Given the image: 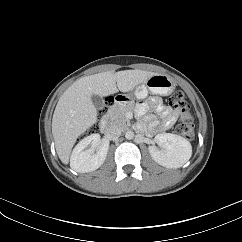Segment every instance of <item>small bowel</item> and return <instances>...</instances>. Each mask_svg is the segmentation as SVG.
<instances>
[{
  "mask_svg": "<svg viewBox=\"0 0 242 242\" xmlns=\"http://www.w3.org/2000/svg\"><path fill=\"white\" fill-rule=\"evenodd\" d=\"M154 109L160 115L161 121H157L147 116L148 106L141 103L136 108V114L142 119L139 124L140 128H144V122H147L146 128L153 133L169 129L180 117V113L160 103L158 100H153Z\"/></svg>",
  "mask_w": 242,
  "mask_h": 242,
  "instance_id": "obj_1",
  "label": "small bowel"
}]
</instances>
